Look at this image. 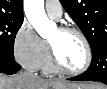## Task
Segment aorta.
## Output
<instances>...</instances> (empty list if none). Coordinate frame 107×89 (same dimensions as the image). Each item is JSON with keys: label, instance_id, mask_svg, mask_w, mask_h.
Instances as JSON below:
<instances>
[{"label": "aorta", "instance_id": "762f6f07", "mask_svg": "<svg viewBox=\"0 0 107 89\" xmlns=\"http://www.w3.org/2000/svg\"><path fill=\"white\" fill-rule=\"evenodd\" d=\"M25 15L37 33L47 38L56 30V24L49 20L44 10V0H24Z\"/></svg>", "mask_w": 107, "mask_h": 89}]
</instances>
